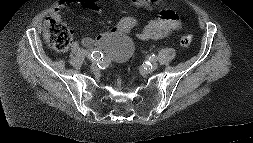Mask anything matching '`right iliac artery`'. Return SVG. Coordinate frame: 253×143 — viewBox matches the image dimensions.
I'll use <instances>...</instances> for the list:
<instances>
[{
    "label": "right iliac artery",
    "instance_id": "right-iliac-artery-1",
    "mask_svg": "<svg viewBox=\"0 0 253 143\" xmlns=\"http://www.w3.org/2000/svg\"><path fill=\"white\" fill-rule=\"evenodd\" d=\"M91 59L93 60H100L103 57V54L99 51H92L90 54Z\"/></svg>",
    "mask_w": 253,
    "mask_h": 143
}]
</instances>
